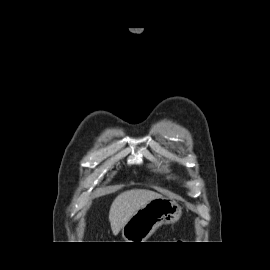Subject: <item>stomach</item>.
Returning <instances> with one entry per match:
<instances>
[{"label": "stomach", "instance_id": "1", "mask_svg": "<svg viewBox=\"0 0 270 270\" xmlns=\"http://www.w3.org/2000/svg\"><path fill=\"white\" fill-rule=\"evenodd\" d=\"M182 214L181 206L167 197L153 199L142 206L122 228L125 242H145L163 224H173Z\"/></svg>", "mask_w": 270, "mask_h": 270}]
</instances>
